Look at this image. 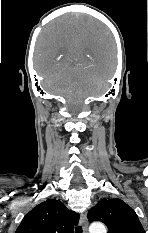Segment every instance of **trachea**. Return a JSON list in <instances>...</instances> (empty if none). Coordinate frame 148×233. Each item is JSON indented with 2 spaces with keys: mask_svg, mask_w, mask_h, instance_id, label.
Listing matches in <instances>:
<instances>
[{
  "mask_svg": "<svg viewBox=\"0 0 148 233\" xmlns=\"http://www.w3.org/2000/svg\"><path fill=\"white\" fill-rule=\"evenodd\" d=\"M75 233H82V227L78 226L75 230Z\"/></svg>",
  "mask_w": 148,
  "mask_h": 233,
  "instance_id": "trachea-1",
  "label": "trachea"
}]
</instances>
